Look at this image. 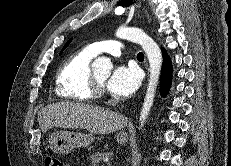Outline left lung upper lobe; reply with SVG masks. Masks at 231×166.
Wrapping results in <instances>:
<instances>
[{
	"label": "left lung upper lobe",
	"instance_id": "5c2ea615",
	"mask_svg": "<svg viewBox=\"0 0 231 166\" xmlns=\"http://www.w3.org/2000/svg\"><path fill=\"white\" fill-rule=\"evenodd\" d=\"M72 41V39H70L63 47V50L70 44V42ZM63 50L60 52V55L62 54Z\"/></svg>",
	"mask_w": 231,
	"mask_h": 166
}]
</instances>
